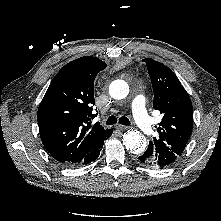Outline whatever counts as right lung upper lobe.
Masks as SVG:
<instances>
[{"mask_svg":"<svg viewBox=\"0 0 221 221\" xmlns=\"http://www.w3.org/2000/svg\"><path fill=\"white\" fill-rule=\"evenodd\" d=\"M106 68L97 57L84 56L66 64L54 77L37 113L40 138L53 158L66 165L79 163L97 148L107 130L91 124L94 80Z\"/></svg>","mask_w":221,"mask_h":221,"instance_id":"cb5924a9","label":"right lung upper lobe"}]
</instances>
